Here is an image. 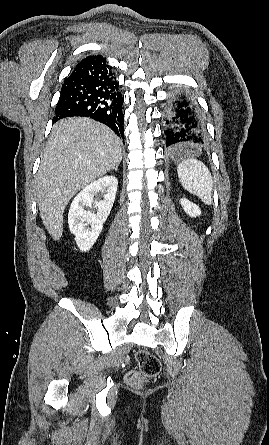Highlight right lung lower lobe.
<instances>
[{
    "label": "right lung lower lobe",
    "instance_id": "right-lung-lower-lobe-1",
    "mask_svg": "<svg viewBox=\"0 0 269 445\" xmlns=\"http://www.w3.org/2000/svg\"><path fill=\"white\" fill-rule=\"evenodd\" d=\"M123 97L119 83L100 56H90L76 65L64 81L54 121L65 117H90L110 127L124 141Z\"/></svg>",
    "mask_w": 269,
    "mask_h": 445
}]
</instances>
